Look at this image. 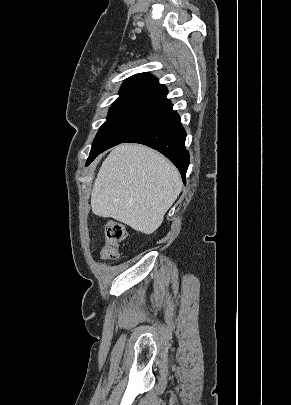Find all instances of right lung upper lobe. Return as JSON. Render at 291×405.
Listing matches in <instances>:
<instances>
[{
	"mask_svg": "<svg viewBox=\"0 0 291 405\" xmlns=\"http://www.w3.org/2000/svg\"><path fill=\"white\" fill-rule=\"evenodd\" d=\"M119 95L114 103L142 100L172 105L166 98V87L159 84L156 77L148 73H140L128 78L122 85Z\"/></svg>",
	"mask_w": 291,
	"mask_h": 405,
	"instance_id": "1",
	"label": "right lung upper lobe"
}]
</instances>
